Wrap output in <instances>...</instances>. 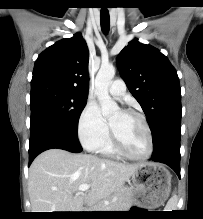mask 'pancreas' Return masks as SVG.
<instances>
[{"label":"pancreas","mask_w":203,"mask_h":219,"mask_svg":"<svg viewBox=\"0 0 203 219\" xmlns=\"http://www.w3.org/2000/svg\"><path fill=\"white\" fill-rule=\"evenodd\" d=\"M133 191L131 188H121L113 196V201L106 205L104 202H99L93 206V211H125L131 205V196Z\"/></svg>","instance_id":"cf45deb5"}]
</instances>
